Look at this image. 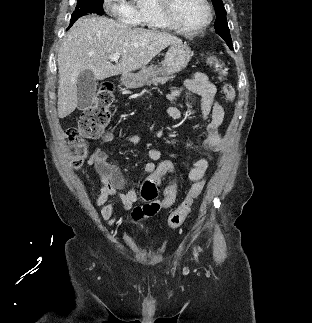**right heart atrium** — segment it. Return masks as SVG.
Segmentation results:
<instances>
[{"label": "right heart atrium", "mask_w": 312, "mask_h": 323, "mask_svg": "<svg viewBox=\"0 0 312 323\" xmlns=\"http://www.w3.org/2000/svg\"><path fill=\"white\" fill-rule=\"evenodd\" d=\"M127 0H104V5L109 13H116L117 17H126V22H135L139 17V10L134 6H127Z\"/></svg>", "instance_id": "1"}]
</instances>
